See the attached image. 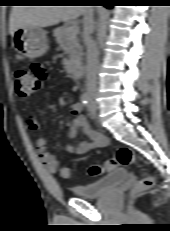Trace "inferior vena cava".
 Here are the masks:
<instances>
[{"label": "inferior vena cava", "instance_id": "obj_1", "mask_svg": "<svg viewBox=\"0 0 170 231\" xmlns=\"http://www.w3.org/2000/svg\"><path fill=\"white\" fill-rule=\"evenodd\" d=\"M84 20V44L86 46V89L94 93L97 88L98 51L91 34L94 30V9L93 6H85L83 9Z\"/></svg>", "mask_w": 170, "mask_h": 231}]
</instances>
